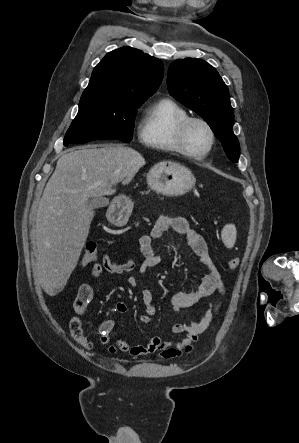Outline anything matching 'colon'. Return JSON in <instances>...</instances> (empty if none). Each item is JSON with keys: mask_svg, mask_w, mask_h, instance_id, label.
<instances>
[{"mask_svg": "<svg viewBox=\"0 0 299 443\" xmlns=\"http://www.w3.org/2000/svg\"><path fill=\"white\" fill-rule=\"evenodd\" d=\"M97 258V245L94 242L88 243L81 255L80 266H88L92 264ZM230 269H236L239 266V259L237 257L228 260Z\"/></svg>", "mask_w": 299, "mask_h": 443, "instance_id": "1", "label": "colon"}]
</instances>
